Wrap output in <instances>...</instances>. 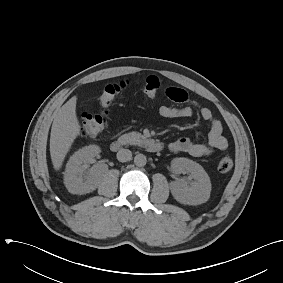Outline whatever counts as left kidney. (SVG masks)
<instances>
[{"label": "left kidney", "mask_w": 283, "mask_h": 283, "mask_svg": "<svg viewBox=\"0 0 283 283\" xmlns=\"http://www.w3.org/2000/svg\"><path fill=\"white\" fill-rule=\"evenodd\" d=\"M171 167L175 173H188L189 177L194 180L190 186L181 181L170 183L171 193L178 202L187 205H199L208 201L211 182L201 165L187 158H174Z\"/></svg>", "instance_id": "5707ae66"}]
</instances>
